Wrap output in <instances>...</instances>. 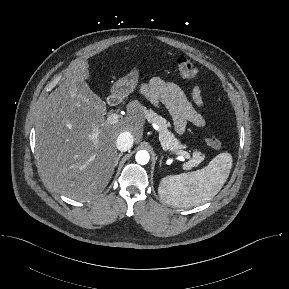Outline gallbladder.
<instances>
[{"mask_svg": "<svg viewBox=\"0 0 289 289\" xmlns=\"http://www.w3.org/2000/svg\"><path fill=\"white\" fill-rule=\"evenodd\" d=\"M78 88L84 92V93H87L90 95L93 103L100 109V110H103L105 108V103L104 101H102L96 94H94L90 89L89 87L87 86V84L83 83H79L78 84Z\"/></svg>", "mask_w": 289, "mask_h": 289, "instance_id": "gallbladder-1", "label": "gallbladder"}]
</instances>
